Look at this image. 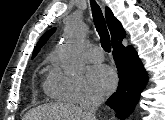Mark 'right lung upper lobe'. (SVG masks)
I'll list each match as a JSON object with an SVG mask.
<instances>
[{"label":"right lung upper lobe","mask_w":165,"mask_h":120,"mask_svg":"<svg viewBox=\"0 0 165 120\" xmlns=\"http://www.w3.org/2000/svg\"><path fill=\"white\" fill-rule=\"evenodd\" d=\"M106 20H107L108 28L111 33L112 45L117 43L118 41L123 40L126 35L125 31L121 23L114 17L112 11L108 7H106ZM54 31L55 28L50 29L40 38L37 45L35 46L33 57L36 56V54L39 52L41 47L45 44L48 38L54 33Z\"/></svg>","instance_id":"1"}]
</instances>
